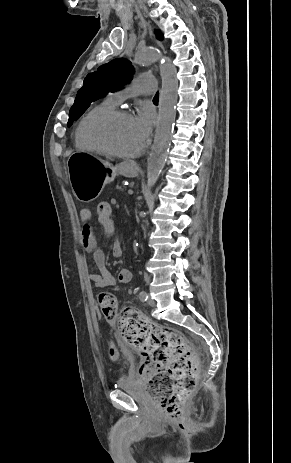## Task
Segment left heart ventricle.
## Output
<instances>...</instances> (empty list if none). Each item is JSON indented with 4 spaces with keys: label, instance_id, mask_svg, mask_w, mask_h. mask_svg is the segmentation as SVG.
Instances as JSON below:
<instances>
[{
    "label": "left heart ventricle",
    "instance_id": "left-heart-ventricle-1",
    "mask_svg": "<svg viewBox=\"0 0 291 463\" xmlns=\"http://www.w3.org/2000/svg\"><path fill=\"white\" fill-rule=\"evenodd\" d=\"M96 135L121 152H134L143 144L131 117H121L99 127Z\"/></svg>",
    "mask_w": 291,
    "mask_h": 463
}]
</instances>
